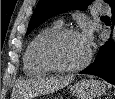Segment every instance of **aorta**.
Returning <instances> with one entry per match:
<instances>
[{"label": "aorta", "instance_id": "1", "mask_svg": "<svg viewBox=\"0 0 115 99\" xmlns=\"http://www.w3.org/2000/svg\"><path fill=\"white\" fill-rule=\"evenodd\" d=\"M113 40L115 41V27L113 29V36H112Z\"/></svg>", "mask_w": 115, "mask_h": 99}]
</instances>
